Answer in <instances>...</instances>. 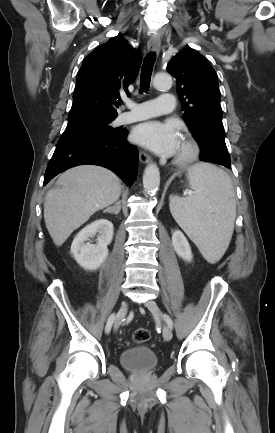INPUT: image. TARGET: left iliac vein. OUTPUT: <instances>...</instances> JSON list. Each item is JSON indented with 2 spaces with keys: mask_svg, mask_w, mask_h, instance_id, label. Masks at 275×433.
Returning <instances> with one entry per match:
<instances>
[{
  "mask_svg": "<svg viewBox=\"0 0 275 433\" xmlns=\"http://www.w3.org/2000/svg\"><path fill=\"white\" fill-rule=\"evenodd\" d=\"M145 306L156 318L164 321L163 314L154 300L147 301ZM163 337L166 341H170L172 339V330L165 322H163Z\"/></svg>",
  "mask_w": 275,
  "mask_h": 433,
  "instance_id": "left-iliac-vein-1",
  "label": "left iliac vein"
}]
</instances>
